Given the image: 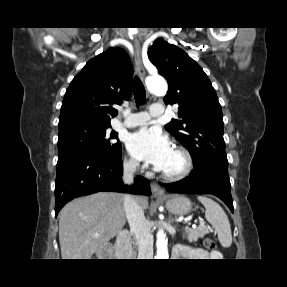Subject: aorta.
<instances>
[{
	"label": "aorta",
	"instance_id": "aorta-1",
	"mask_svg": "<svg viewBox=\"0 0 287 287\" xmlns=\"http://www.w3.org/2000/svg\"><path fill=\"white\" fill-rule=\"evenodd\" d=\"M147 86L149 91L153 93L165 94L167 92V83L162 78L150 80ZM156 246V259H168L167 238L163 229L157 232Z\"/></svg>",
	"mask_w": 287,
	"mask_h": 287
}]
</instances>
